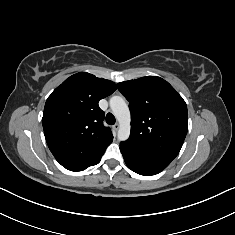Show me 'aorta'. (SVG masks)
<instances>
[{
    "label": "aorta",
    "mask_w": 235,
    "mask_h": 235,
    "mask_svg": "<svg viewBox=\"0 0 235 235\" xmlns=\"http://www.w3.org/2000/svg\"><path fill=\"white\" fill-rule=\"evenodd\" d=\"M110 108L119 122L118 139L125 141L130 136V110L125 100L120 96H113L109 101Z\"/></svg>",
    "instance_id": "obj_1"
}]
</instances>
